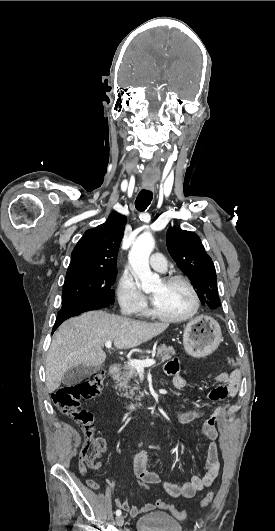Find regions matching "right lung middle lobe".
<instances>
[{
  "instance_id": "1",
  "label": "right lung middle lobe",
  "mask_w": 275,
  "mask_h": 531,
  "mask_svg": "<svg viewBox=\"0 0 275 531\" xmlns=\"http://www.w3.org/2000/svg\"><path fill=\"white\" fill-rule=\"evenodd\" d=\"M116 270H82L67 273L62 291V301L82 300L109 306L114 303L112 285Z\"/></svg>"
}]
</instances>
